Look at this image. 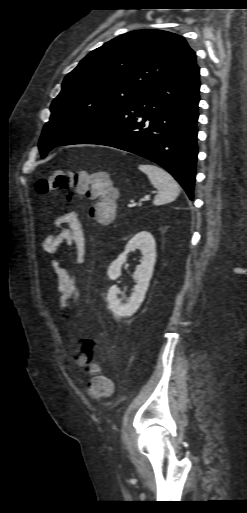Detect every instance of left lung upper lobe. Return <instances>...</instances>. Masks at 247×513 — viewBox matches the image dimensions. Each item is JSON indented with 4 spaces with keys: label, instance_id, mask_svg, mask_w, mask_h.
<instances>
[{
    "label": "left lung upper lobe",
    "instance_id": "1",
    "mask_svg": "<svg viewBox=\"0 0 247 513\" xmlns=\"http://www.w3.org/2000/svg\"><path fill=\"white\" fill-rule=\"evenodd\" d=\"M194 57L182 36L162 30L128 32L95 49L65 77L51 104L39 141L42 157L168 81Z\"/></svg>",
    "mask_w": 247,
    "mask_h": 513
}]
</instances>
